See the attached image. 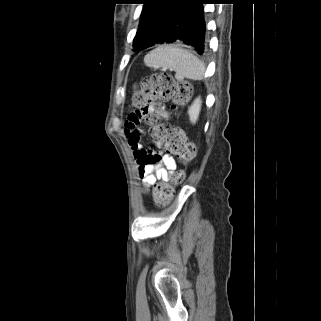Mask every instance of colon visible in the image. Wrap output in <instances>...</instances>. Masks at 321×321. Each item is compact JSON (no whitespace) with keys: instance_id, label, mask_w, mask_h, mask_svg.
<instances>
[{"instance_id":"1","label":"colon","mask_w":321,"mask_h":321,"mask_svg":"<svg viewBox=\"0 0 321 321\" xmlns=\"http://www.w3.org/2000/svg\"><path fill=\"white\" fill-rule=\"evenodd\" d=\"M191 95V86L186 82H176L166 73H156L142 79L133 95V104L138 109H146L162 100H171L175 108L184 106ZM153 138L163 149L175 155L183 164H188L196 156L195 145L180 127L167 123L153 124ZM183 178L181 171L171 172V184L160 183L155 188V200L159 204L167 202L173 194L172 184Z\"/></svg>"}]
</instances>
